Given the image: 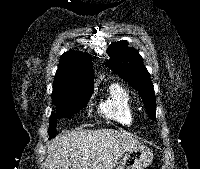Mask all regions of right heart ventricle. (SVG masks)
<instances>
[{"label": "right heart ventricle", "mask_w": 200, "mask_h": 169, "mask_svg": "<svg viewBox=\"0 0 200 169\" xmlns=\"http://www.w3.org/2000/svg\"><path fill=\"white\" fill-rule=\"evenodd\" d=\"M99 112L107 119L129 127L134 123L135 115L132 98L128 90L120 83H112L107 90L106 99L100 104Z\"/></svg>", "instance_id": "e07e8e85"}]
</instances>
